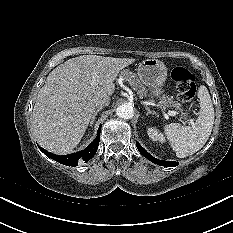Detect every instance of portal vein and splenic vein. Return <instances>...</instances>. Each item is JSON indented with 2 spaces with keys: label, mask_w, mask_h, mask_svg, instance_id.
Listing matches in <instances>:
<instances>
[{
  "label": "portal vein and splenic vein",
  "mask_w": 233,
  "mask_h": 233,
  "mask_svg": "<svg viewBox=\"0 0 233 233\" xmlns=\"http://www.w3.org/2000/svg\"><path fill=\"white\" fill-rule=\"evenodd\" d=\"M91 86H93V87L97 86V81H96V77L95 76H92ZM177 114H178L177 111H171V110L168 111V115H170V116H176Z\"/></svg>",
  "instance_id": "obj_1"
}]
</instances>
